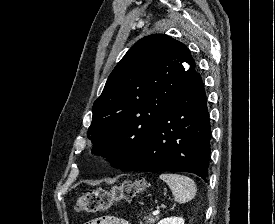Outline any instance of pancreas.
I'll return each mask as SVG.
<instances>
[{
	"label": "pancreas",
	"instance_id": "pancreas-1",
	"mask_svg": "<svg viewBox=\"0 0 275 224\" xmlns=\"http://www.w3.org/2000/svg\"><path fill=\"white\" fill-rule=\"evenodd\" d=\"M144 220H145V224H154L156 221L159 220V216H155V217L147 216V217H144Z\"/></svg>",
	"mask_w": 275,
	"mask_h": 224
}]
</instances>
